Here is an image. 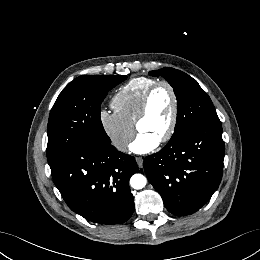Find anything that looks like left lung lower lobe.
<instances>
[{
	"label": "left lung lower lobe",
	"mask_w": 260,
	"mask_h": 260,
	"mask_svg": "<svg viewBox=\"0 0 260 260\" xmlns=\"http://www.w3.org/2000/svg\"><path fill=\"white\" fill-rule=\"evenodd\" d=\"M224 152L221 123H206L147 156L144 169L167 210L185 216L199 210L218 188Z\"/></svg>",
	"instance_id": "0a47b994"
}]
</instances>
